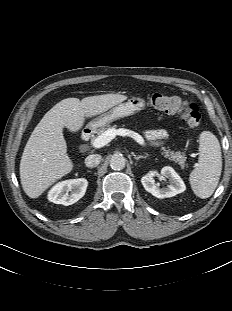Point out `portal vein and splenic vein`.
I'll use <instances>...</instances> for the list:
<instances>
[{"instance_id":"18ae733b","label":"portal vein and splenic vein","mask_w":232,"mask_h":311,"mask_svg":"<svg viewBox=\"0 0 232 311\" xmlns=\"http://www.w3.org/2000/svg\"><path fill=\"white\" fill-rule=\"evenodd\" d=\"M117 135L119 136H129L133 138L138 144L145 146V140L143 137L135 131L120 128V129H108L102 135L98 136L93 142L92 146L94 148H101L107 145L111 140H113Z\"/></svg>"}]
</instances>
